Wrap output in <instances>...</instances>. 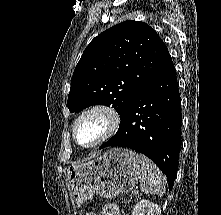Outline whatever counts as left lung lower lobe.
Wrapping results in <instances>:
<instances>
[{
	"mask_svg": "<svg viewBox=\"0 0 221 215\" xmlns=\"http://www.w3.org/2000/svg\"><path fill=\"white\" fill-rule=\"evenodd\" d=\"M120 119L117 133L99 148L120 146L143 153L167 176L171 189L181 137L180 96L171 58L139 91Z\"/></svg>",
	"mask_w": 221,
	"mask_h": 215,
	"instance_id": "1",
	"label": "left lung lower lobe"
}]
</instances>
